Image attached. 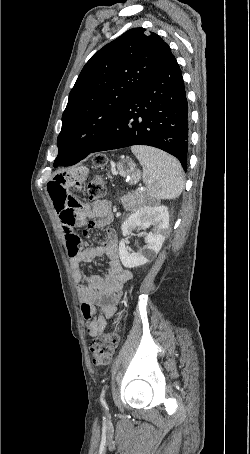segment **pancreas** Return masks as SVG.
<instances>
[{
  "label": "pancreas",
  "instance_id": "cf45deb5",
  "mask_svg": "<svg viewBox=\"0 0 250 454\" xmlns=\"http://www.w3.org/2000/svg\"><path fill=\"white\" fill-rule=\"evenodd\" d=\"M144 199V196L142 194H134L132 196L128 197H123L122 200L124 202V206L127 209H131L136 205L137 203L142 202Z\"/></svg>",
  "mask_w": 250,
  "mask_h": 454
}]
</instances>
